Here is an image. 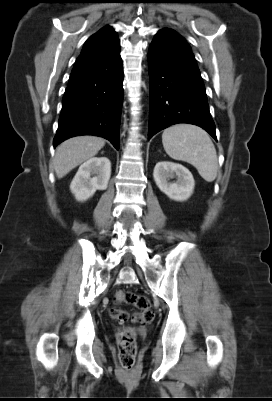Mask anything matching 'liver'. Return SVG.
Wrapping results in <instances>:
<instances>
[{
	"label": "liver",
	"mask_w": 272,
	"mask_h": 401,
	"mask_svg": "<svg viewBox=\"0 0 272 401\" xmlns=\"http://www.w3.org/2000/svg\"><path fill=\"white\" fill-rule=\"evenodd\" d=\"M105 145L96 136H77L61 143L55 153L53 165L57 177L63 178L72 169L95 156Z\"/></svg>",
	"instance_id": "obj_1"
}]
</instances>
